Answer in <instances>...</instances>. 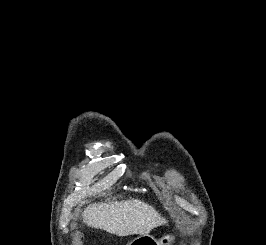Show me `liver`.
I'll list each match as a JSON object with an SVG mask.
<instances>
[{
	"mask_svg": "<svg viewBox=\"0 0 266 245\" xmlns=\"http://www.w3.org/2000/svg\"><path fill=\"white\" fill-rule=\"evenodd\" d=\"M82 219L88 227L103 229L117 237L149 235L152 229L166 223L153 207L139 199L88 205L82 213Z\"/></svg>",
	"mask_w": 266,
	"mask_h": 245,
	"instance_id": "6515ba94",
	"label": "liver"
}]
</instances>
